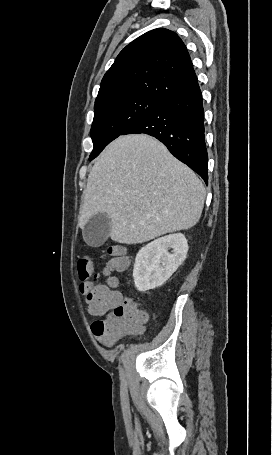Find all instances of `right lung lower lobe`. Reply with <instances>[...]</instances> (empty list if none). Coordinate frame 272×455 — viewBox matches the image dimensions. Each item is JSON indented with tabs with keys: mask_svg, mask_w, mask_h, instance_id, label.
<instances>
[{
	"mask_svg": "<svg viewBox=\"0 0 272 455\" xmlns=\"http://www.w3.org/2000/svg\"><path fill=\"white\" fill-rule=\"evenodd\" d=\"M146 133L208 182V155L204 138V109L198 82L171 95L121 135Z\"/></svg>",
	"mask_w": 272,
	"mask_h": 455,
	"instance_id": "obj_1",
	"label": "right lung lower lobe"
}]
</instances>
